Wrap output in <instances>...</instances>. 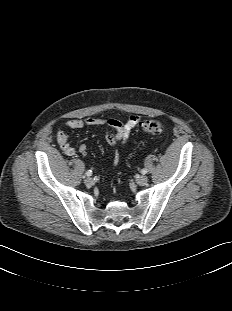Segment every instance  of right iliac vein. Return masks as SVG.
<instances>
[{
    "mask_svg": "<svg viewBox=\"0 0 232 311\" xmlns=\"http://www.w3.org/2000/svg\"><path fill=\"white\" fill-rule=\"evenodd\" d=\"M84 183L87 185V186H92L94 181L91 177H88L85 179Z\"/></svg>",
    "mask_w": 232,
    "mask_h": 311,
    "instance_id": "63e3f726",
    "label": "right iliac vein"
}]
</instances>
